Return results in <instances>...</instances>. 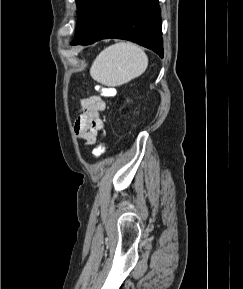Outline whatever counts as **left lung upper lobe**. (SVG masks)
Returning <instances> with one entry per match:
<instances>
[{
  "label": "left lung upper lobe",
  "instance_id": "left-lung-upper-lobe-1",
  "mask_svg": "<svg viewBox=\"0 0 243 289\" xmlns=\"http://www.w3.org/2000/svg\"><path fill=\"white\" fill-rule=\"evenodd\" d=\"M89 0H76L78 14L83 10Z\"/></svg>",
  "mask_w": 243,
  "mask_h": 289
}]
</instances>
